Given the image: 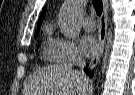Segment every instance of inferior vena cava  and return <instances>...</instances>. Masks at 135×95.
Returning <instances> with one entry per match:
<instances>
[{"instance_id": "602c4592", "label": "inferior vena cava", "mask_w": 135, "mask_h": 95, "mask_svg": "<svg viewBox=\"0 0 135 95\" xmlns=\"http://www.w3.org/2000/svg\"><path fill=\"white\" fill-rule=\"evenodd\" d=\"M72 66H78L79 68L83 69L85 67V61L82 59V57L79 54H75L70 67ZM79 73L83 76L85 75L83 71H80Z\"/></svg>"}]
</instances>
